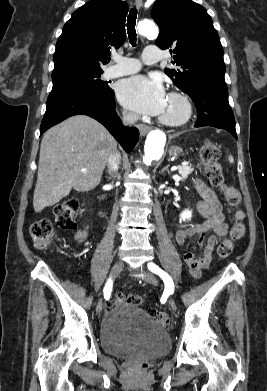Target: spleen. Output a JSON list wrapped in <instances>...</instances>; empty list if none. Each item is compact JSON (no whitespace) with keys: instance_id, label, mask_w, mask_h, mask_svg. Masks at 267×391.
<instances>
[{"instance_id":"spleen-1","label":"spleen","mask_w":267,"mask_h":391,"mask_svg":"<svg viewBox=\"0 0 267 391\" xmlns=\"http://www.w3.org/2000/svg\"><path fill=\"white\" fill-rule=\"evenodd\" d=\"M228 160H229L230 163L234 162V159H233V157L231 155L228 157Z\"/></svg>"}]
</instances>
